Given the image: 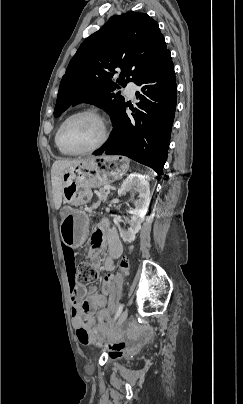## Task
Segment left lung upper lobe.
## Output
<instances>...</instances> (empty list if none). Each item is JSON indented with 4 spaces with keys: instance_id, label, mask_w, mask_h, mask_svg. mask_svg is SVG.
<instances>
[{
    "instance_id": "1",
    "label": "left lung upper lobe",
    "mask_w": 243,
    "mask_h": 404,
    "mask_svg": "<svg viewBox=\"0 0 243 404\" xmlns=\"http://www.w3.org/2000/svg\"><path fill=\"white\" fill-rule=\"evenodd\" d=\"M168 51L157 22L147 14L130 11L112 16L84 40L71 59L60 83L54 116L71 105L89 102L107 111L115 123L126 105L115 91L129 81L135 83ZM116 68L121 71L119 85L113 81Z\"/></svg>"
}]
</instances>
